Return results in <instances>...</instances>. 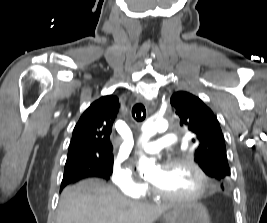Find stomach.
I'll return each instance as SVG.
<instances>
[{"label": "stomach", "mask_w": 267, "mask_h": 223, "mask_svg": "<svg viewBox=\"0 0 267 223\" xmlns=\"http://www.w3.org/2000/svg\"><path fill=\"white\" fill-rule=\"evenodd\" d=\"M165 223H210L207 208L195 201L181 202L164 215Z\"/></svg>", "instance_id": "stomach-1"}]
</instances>
